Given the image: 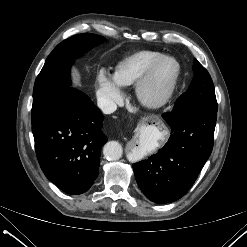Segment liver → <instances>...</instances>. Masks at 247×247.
Returning a JSON list of instances; mask_svg holds the SVG:
<instances>
[{"instance_id": "1", "label": "liver", "mask_w": 247, "mask_h": 247, "mask_svg": "<svg viewBox=\"0 0 247 247\" xmlns=\"http://www.w3.org/2000/svg\"><path fill=\"white\" fill-rule=\"evenodd\" d=\"M74 83H78V81H77V79H76V77L74 76Z\"/></svg>"}]
</instances>
